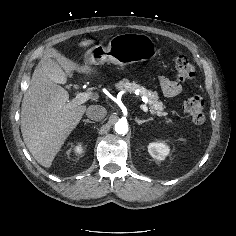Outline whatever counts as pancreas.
I'll use <instances>...</instances> for the list:
<instances>
[{
  "instance_id": "obj_1",
  "label": "pancreas",
  "mask_w": 236,
  "mask_h": 236,
  "mask_svg": "<svg viewBox=\"0 0 236 236\" xmlns=\"http://www.w3.org/2000/svg\"><path fill=\"white\" fill-rule=\"evenodd\" d=\"M116 88L118 90H126L130 93H134L136 90H139L140 95L148 99L149 110L151 114L157 115L158 117H164L167 123L172 122V119H168V113L164 111L165 106L162 101L159 100L156 92L147 90L144 86H141L137 83H130L127 79L120 81Z\"/></svg>"
}]
</instances>
